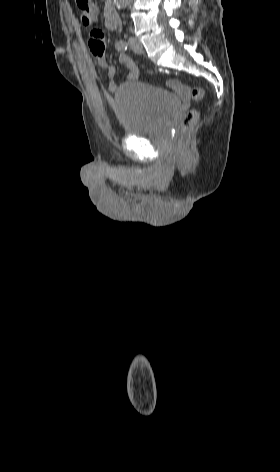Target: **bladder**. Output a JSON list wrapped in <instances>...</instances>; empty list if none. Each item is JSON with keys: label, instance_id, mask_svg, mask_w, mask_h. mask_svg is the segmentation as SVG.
Instances as JSON below:
<instances>
[{"label": "bladder", "instance_id": "obj_1", "mask_svg": "<svg viewBox=\"0 0 280 472\" xmlns=\"http://www.w3.org/2000/svg\"><path fill=\"white\" fill-rule=\"evenodd\" d=\"M114 105L127 136L154 132L170 119L180 102L168 91L137 81L120 84Z\"/></svg>", "mask_w": 280, "mask_h": 472}]
</instances>
